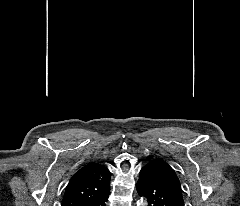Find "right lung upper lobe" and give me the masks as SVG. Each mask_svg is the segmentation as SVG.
I'll return each instance as SVG.
<instances>
[{
	"label": "right lung upper lobe",
	"instance_id": "cb5924a9",
	"mask_svg": "<svg viewBox=\"0 0 240 206\" xmlns=\"http://www.w3.org/2000/svg\"><path fill=\"white\" fill-rule=\"evenodd\" d=\"M109 185V170L101 164L89 163L72 176L61 206H83L109 191Z\"/></svg>",
	"mask_w": 240,
	"mask_h": 206
}]
</instances>
